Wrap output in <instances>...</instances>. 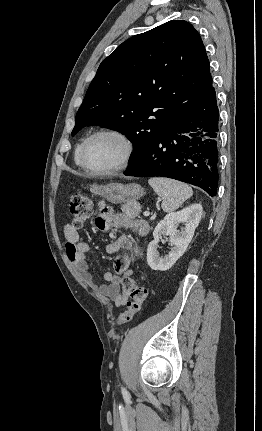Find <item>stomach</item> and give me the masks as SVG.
Segmentation results:
<instances>
[{
	"label": "stomach",
	"mask_w": 262,
	"mask_h": 431,
	"mask_svg": "<svg viewBox=\"0 0 262 431\" xmlns=\"http://www.w3.org/2000/svg\"><path fill=\"white\" fill-rule=\"evenodd\" d=\"M90 191L108 202L114 204L124 203L130 206H134L136 200L145 194L144 189L136 183L122 184L115 182L106 185L93 184L90 187Z\"/></svg>",
	"instance_id": "obj_1"
}]
</instances>
